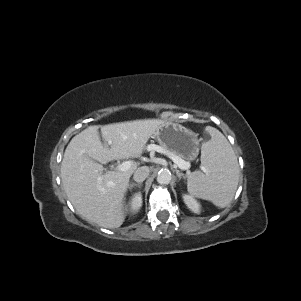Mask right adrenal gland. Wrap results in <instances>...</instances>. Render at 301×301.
I'll use <instances>...</instances> for the list:
<instances>
[{
  "label": "right adrenal gland",
  "instance_id": "2a0ac1e0",
  "mask_svg": "<svg viewBox=\"0 0 301 301\" xmlns=\"http://www.w3.org/2000/svg\"><path fill=\"white\" fill-rule=\"evenodd\" d=\"M135 186L141 187L142 183H132V184L129 185V189H132Z\"/></svg>",
  "mask_w": 301,
  "mask_h": 301
}]
</instances>
